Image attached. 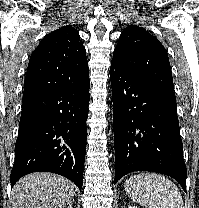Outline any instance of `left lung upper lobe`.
I'll use <instances>...</instances> for the list:
<instances>
[{
    "instance_id": "5c2ea615",
    "label": "left lung upper lobe",
    "mask_w": 199,
    "mask_h": 208,
    "mask_svg": "<svg viewBox=\"0 0 199 208\" xmlns=\"http://www.w3.org/2000/svg\"><path fill=\"white\" fill-rule=\"evenodd\" d=\"M112 62L140 79L173 90L167 52L158 39L144 28L131 25L123 30Z\"/></svg>"
}]
</instances>
